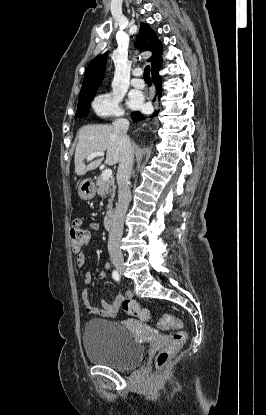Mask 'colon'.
Returning a JSON list of instances; mask_svg holds the SVG:
<instances>
[{
	"mask_svg": "<svg viewBox=\"0 0 266 415\" xmlns=\"http://www.w3.org/2000/svg\"><path fill=\"white\" fill-rule=\"evenodd\" d=\"M71 247L75 252L80 250L89 241V230L83 225L81 220H76L72 223L70 232ZM122 307L124 311L132 316H135L143 321L150 319V312L146 308H142L132 299H125ZM158 328L163 331H173L170 342L159 351L155 362L158 367L164 366L184 345L187 339V333L184 330L183 321L170 314H163L158 320Z\"/></svg>",
	"mask_w": 266,
	"mask_h": 415,
	"instance_id": "5ec220e1",
	"label": "colon"
}]
</instances>
